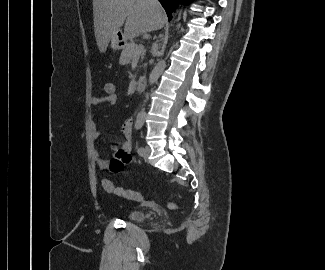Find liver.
Masks as SVG:
<instances>
[{
    "instance_id": "6515ba94",
    "label": "liver",
    "mask_w": 325,
    "mask_h": 270,
    "mask_svg": "<svg viewBox=\"0 0 325 270\" xmlns=\"http://www.w3.org/2000/svg\"><path fill=\"white\" fill-rule=\"evenodd\" d=\"M94 31L98 48L104 53L120 27L132 39L163 27L166 15L154 0H93Z\"/></svg>"
}]
</instances>
